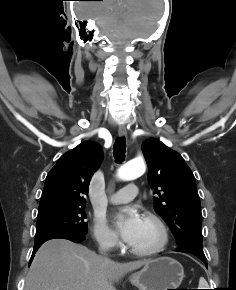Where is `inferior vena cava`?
Wrapping results in <instances>:
<instances>
[{
    "instance_id": "inferior-vena-cava-1",
    "label": "inferior vena cava",
    "mask_w": 236,
    "mask_h": 290,
    "mask_svg": "<svg viewBox=\"0 0 236 290\" xmlns=\"http://www.w3.org/2000/svg\"><path fill=\"white\" fill-rule=\"evenodd\" d=\"M105 250H106L105 246L104 245H101L100 251L101 252H105Z\"/></svg>"
}]
</instances>
